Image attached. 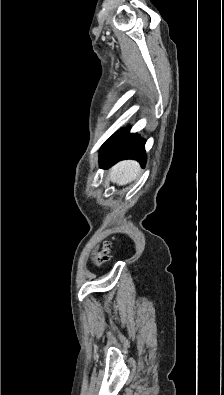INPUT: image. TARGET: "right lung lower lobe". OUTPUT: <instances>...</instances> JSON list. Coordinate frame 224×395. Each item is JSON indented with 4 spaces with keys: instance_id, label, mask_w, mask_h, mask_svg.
I'll list each match as a JSON object with an SVG mask.
<instances>
[{
    "instance_id": "1",
    "label": "right lung lower lobe",
    "mask_w": 224,
    "mask_h": 395,
    "mask_svg": "<svg viewBox=\"0 0 224 395\" xmlns=\"http://www.w3.org/2000/svg\"><path fill=\"white\" fill-rule=\"evenodd\" d=\"M145 141L137 134H130L129 128L108 139L100 150V164L105 168L124 159H135L145 166Z\"/></svg>"
}]
</instances>
